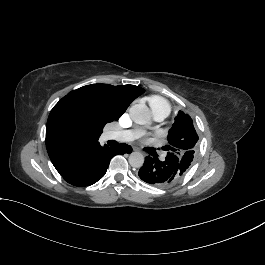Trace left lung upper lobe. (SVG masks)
Here are the masks:
<instances>
[{
  "label": "left lung upper lobe",
  "mask_w": 265,
  "mask_h": 265,
  "mask_svg": "<svg viewBox=\"0 0 265 265\" xmlns=\"http://www.w3.org/2000/svg\"><path fill=\"white\" fill-rule=\"evenodd\" d=\"M198 135L193 120L188 114L179 111L168 133L169 144L164 148L171 156H177L183 166L185 175L193 162L197 151Z\"/></svg>",
  "instance_id": "5c2ea615"
}]
</instances>
